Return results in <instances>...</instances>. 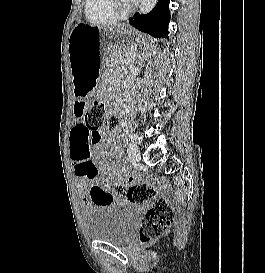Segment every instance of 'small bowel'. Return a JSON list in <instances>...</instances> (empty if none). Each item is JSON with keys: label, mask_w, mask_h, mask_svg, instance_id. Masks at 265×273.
I'll list each match as a JSON object with an SVG mask.
<instances>
[{"label": "small bowel", "mask_w": 265, "mask_h": 273, "mask_svg": "<svg viewBox=\"0 0 265 273\" xmlns=\"http://www.w3.org/2000/svg\"><path fill=\"white\" fill-rule=\"evenodd\" d=\"M77 103L74 104L75 110H72V115L80 117L85 111L86 100L78 99ZM70 159L78 179L79 188L83 192V204H113V200L118 195H111V190H104V187L100 186L99 183L92 182L98 179L100 174L113 175L114 168L109 164L98 166L91 158L89 130L81 121L77 122L71 130Z\"/></svg>", "instance_id": "small-bowel-1"}]
</instances>
